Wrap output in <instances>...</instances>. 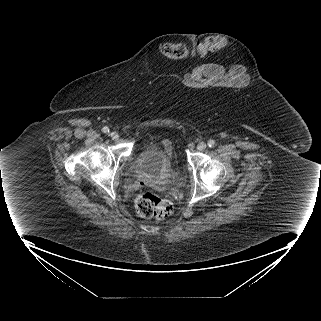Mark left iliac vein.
Instances as JSON below:
<instances>
[{
    "label": "left iliac vein",
    "mask_w": 321,
    "mask_h": 321,
    "mask_svg": "<svg viewBox=\"0 0 321 321\" xmlns=\"http://www.w3.org/2000/svg\"><path fill=\"white\" fill-rule=\"evenodd\" d=\"M206 147H207V145H206L205 142H200V143L197 145V149H198L199 151H203Z\"/></svg>",
    "instance_id": "4c4485c4"
}]
</instances>
